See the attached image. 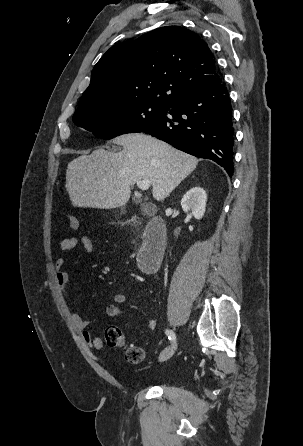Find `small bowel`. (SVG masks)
I'll return each mask as SVG.
<instances>
[{
  "label": "small bowel",
  "instance_id": "1",
  "mask_svg": "<svg viewBox=\"0 0 303 446\" xmlns=\"http://www.w3.org/2000/svg\"><path fill=\"white\" fill-rule=\"evenodd\" d=\"M78 243H81L83 250L86 254H92L94 251V244L89 237L86 236H70L60 241L59 249L61 251H71L73 250ZM65 260L63 258H59L55 263V274L56 281L60 288L65 292L68 296V285H69V275L65 270ZM127 301V295L124 293H117L109 297V305L106 307V315L111 319H120L121 318V310L118 304L125 303ZM71 321L74 327L79 330L82 334V338L84 342L91 348L102 350L104 345L101 338L95 336L90 330H88V326L91 324V321L85 320L79 313L73 312L71 313ZM156 326V321L154 319H150L148 321V327L150 329H154Z\"/></svg>",
  "mask_w": 303,
  "mask_h": 446
}]
</instances>
